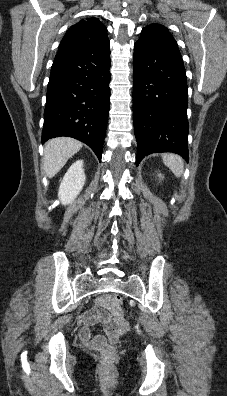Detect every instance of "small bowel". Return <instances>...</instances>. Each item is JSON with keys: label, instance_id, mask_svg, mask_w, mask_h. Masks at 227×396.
<instances>
[{"label": "small bowel", "instance_id": "small-bowel-1", "mask_svg": "<svg viewBox=\"0 0 227 396\" xmlns=\"http://www.w3.org/2000/svg\"><path fill=\"white\" fill-rule=\"evenodd\" d=\"M84 322L86 325L80 330V338L85 344L95 348L105 346L107 341L116 342L129 327L121 310L114 306L110 295H103L96 300L95 306L84 314ZM99 322L104 325L106 337L91 334L88 326Z\"/></svg>", "mask_w": 227, "mask_h": 396}]
</instances>
